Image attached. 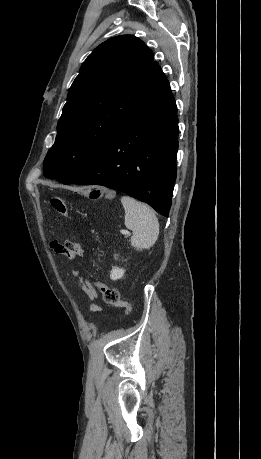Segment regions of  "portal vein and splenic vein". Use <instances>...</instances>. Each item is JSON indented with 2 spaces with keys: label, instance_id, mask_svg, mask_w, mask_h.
Instances as JSON below:
<instances>
[{
  "label": "portal vein and splenic vein",
  "instance_id": "1",
  "mask_svg": "<svg viewBox=\"0 0 261 459\" xmlns=\"http://www.w3.org/2000/svg\"><path fill=\"white\" fill-rule=\"evenodd\" d=\"M120 232H121L122 234H125V235H127V236L130 234V232H129V231H127V230H120Z\"/></svg>",
  "mask_w": 261,
  "mask_h": 459
}]
</instances>
